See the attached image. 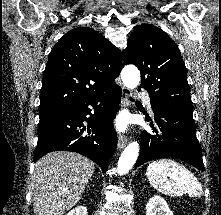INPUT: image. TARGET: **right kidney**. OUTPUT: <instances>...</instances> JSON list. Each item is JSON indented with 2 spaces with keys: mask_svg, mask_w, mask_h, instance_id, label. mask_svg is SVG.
Instances as JSON below:
<instances>
[{
  "mask_svg": "<svg viewBox=\"0 0 221 215\" xmlns=\"http://www.w3.org/2000/svg\"><path fill=\"white\" fill-rule=\"evenodd\" d=\"M67 215H87V209L84 206H78L71 210Z\"/></svg>",
  "mask_w": 221,
  "mask_h": 215,
  "instance_id": "right-kidney-1",
  "label": "right kidney"
}]
</instances>
